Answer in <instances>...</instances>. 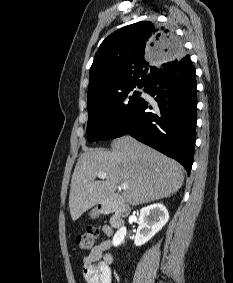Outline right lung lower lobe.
<instances>
[{"label": "right lung lower lobe", "mask_w": 233, "mask_h": 283, "mask_svg": "<svg viewBox=\"0 0 233 283\" xmlns=\"http://www.w3.org/2000/svg\"><path fill=\"white\" fill-rule=\"evenodd\" d=\"M143 98L113 132L111 139L129 134L180 162L190 173L196 140V75L189 55L155 77ZM147 108L152 112H145Z\"/></svg>", "instance_id": "1"}]
</instances>
